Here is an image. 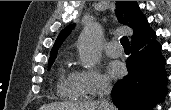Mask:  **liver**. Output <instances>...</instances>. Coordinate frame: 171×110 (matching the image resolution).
<instances>
[{
	"label": "liver",
	"mask_w": 171,
	"mask_h": 110,
	"mask_svg": "<svg viewBox=\"0 0 171 110\" xmlns=\"http://www.w3.org/2000/svg\"><path fill=\"white\" fill-rule=\"evenodd\" d=\"M39 110H102L99 102H90L84 104H74L66 102H55L40 107ZM110 110H116V107L110 105Z\"/></svg>",
	"instance_id": "liver-1"
}]
</instances>
